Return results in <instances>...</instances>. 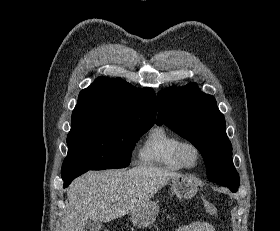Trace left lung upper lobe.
<instances>
[{"label":"left lung upper lobe","instance_id":"5c2ea615","mask_svg":"<svg viewBox=\"0 0 280 231\" xmlns=\"http://www.w3.org/2000/svg\"><path fill=\"white\" fill-rule=\"evenodd\" d=\"M157 124H165L190 141L202 154L208 180L216 182L237 173L223 114L215 98L195 83L158 94Z\"/></svg>","mask_w":280,"mask_h":231}]
</instances>
